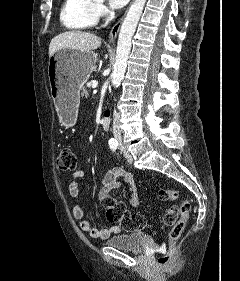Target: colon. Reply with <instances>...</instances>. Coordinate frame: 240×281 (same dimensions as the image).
Instances as JSON below:
<instances>
[{
	"mask_svg": "<svg viewBox=\"0 0 240 281\" xmlns=\"http://www.w3.org/2000/svg\"><path fill=\"white\" fill-rule=\"evenodd\" d=\"M76 165L77 160L74 152L69 148L62 149L57 157L58 168L61 171H73ZM159 198L162 201L177 202L166 210L163 218L164 224L172 225V228L168 235L169 246L161 249L156 263L158 266H166L170 262L176 243L182 236L191 205L187 199H180L179 193L174 189H161ZM102 205L105 207L108 220L117 223L126 231L142 230L147 226V221L142 215L130 213L121 202L106 198Z\"/></svg>",
	"mask_w": 240,
	"mask_h": 281,
	"instance_id": "colon-1",
	"label": "colon"
}]
</instances>
